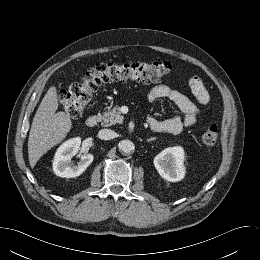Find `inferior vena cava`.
Segmentation results:
<instances>
[{
	"label": "inferior vena cava",
	"mask_w": 260,
	"mask_h": 260,
	"mask_svg": "<svg viewBox=\"0 0 260 260\" xmlns=\"http://www.w3.org/2000/svg\"><path fill=\"white\" fill-rule=\"evenodd\" d=\"M98 137L102 140H110L114 138V131L110 129H102L98 132Z\"/></svg>",
	"instance_id": "602c4592"
}]
</instances>
